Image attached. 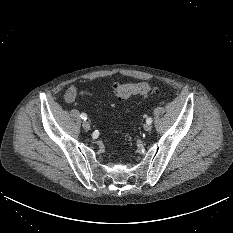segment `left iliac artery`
I'll return each instance as SVG.
<instances>
[{"mask_svg":"<svg viewBox=\"0 0 233 233\" xmlns=\"http://www.w3.org/2000/svg\"><path fill=\"white\" fill-rule=\"evenodd\" d=\"M146 122H147L148 124H151V123H152V118H151V117H148L147 120H146Z\"/></svg>","mask_w":233,"mask_h":233,"instance_id":"left-iliac-artery-1","label":"left iliac artery"}]
</instances>
